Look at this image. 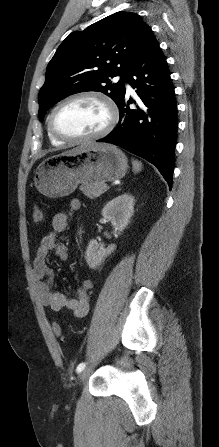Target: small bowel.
<instances>
[{
	"label": "small bowel",
	"instance_id": "small-bowel-1",
	"mask_svg": "<svg viewBox=\"0 0 219 447\" xmlns=\"http://www.w3.org/2000/svg\"><path fill=\"white\" fill-rule=\"evenodd\" d=\"M81 202L74 199L65 211L58 212L52 218L51 229L42 237L33 260V280L35 293L43 306L53 311L67 310L75 317L85 316L89 308V291L92 288V280L85 279L75 290V296L69 297L52 289L54 273L47 264L48 254L53 251L60 260L69 257L68 247L57 240L58 234L63 232L69 222L72 213L78 211Z\"/></svg>",
	"mask_w": 219,
	"mask_h": 447
}]
</instances>
